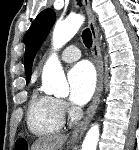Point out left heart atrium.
<instances>
[{
  "instance_id": "39dd6f15",
  "label": "left heart atrium",
  "mask_w": 139,
  "mask_h": 150,
  "mask_svg": "<svg viewBox=\"0 0 139 150\" xmlns=\"http://www.w3.org/2000/svg\"><path fill=\"white\" fill-rule=\"evenodd\" d=\"M70 101L77 105L86 104L96 88V74L88 62L76 64L68 73Z\"/></svg>"
}]
</instances>
